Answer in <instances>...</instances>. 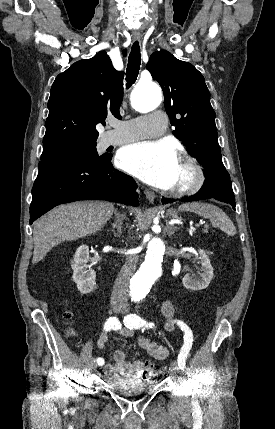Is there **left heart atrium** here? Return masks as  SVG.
I'll use <instances>...</instances> for the list:
<instances>
[{
  "label": "left heart atrium",
  "instance_id": "left-heart-atrium-1",
  "mask_svg": "<svg viewBox=\"0 0 275 429\" xmlns=\"http://www.w3.org/2000/svg\"><path fill=\"white\" fill-rule=\"evenodd\" d=\"M118 165L146 183L162 188L173 187L178 167L175 149L165 141H141L123 147Z\"/></svg>",
  "mask_w": 275,
  "mask_h": 429
}]
</instances>
